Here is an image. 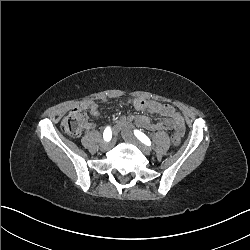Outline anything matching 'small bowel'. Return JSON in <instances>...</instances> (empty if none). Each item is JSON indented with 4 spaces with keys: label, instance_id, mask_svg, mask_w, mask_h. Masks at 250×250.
Masks as SVG:
<instances>
[{
    "label": "small bowel",
    "instance_id": "c3829d8e",
    "mask_svg": "<svg viewBox=\"0 0 250 250\" xmlns=\"http://www.w3.org/2000/svg\"><path fill=\"white\" fill-rule=\"evenodd\" d=\"M133 107L136 110H146L151 114H157L165 117L162 121H152L149 117L144 115L139 116H125L120 120V125L125 128H130L132 122H136L140 127L150 131H179L181 137L185 131V124L182 115L171 105L162 104L155 100L145 101L141 98L132 101ZM82 110L90 112L97 116L99 115L98 105L93 101H88L82 105ZM88 128L93 129L95 124L89 123Z\"/></svg>",
    "mask_w": 250,
    "mask_h": 250
}]
</instances>
